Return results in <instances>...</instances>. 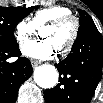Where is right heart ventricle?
<instances>
[{
	"label": "right heart ventricle",
	"instance_id": "e07e8e85",
	"mask_svg": "<svg viewBox=\"0 0 103 103\" xmlns=\"http://www.w3.org/2000/svg\"><path fill=\"white\" fill-rule=\"evenodd\" d=\"M67 15H72L69 8L61 5H52L38 10L33 16L32 23L35 28H39L53 20Z\"/></svg>",
	"mask_w": 103,
	"mask_h": 103
}]
</instances>
